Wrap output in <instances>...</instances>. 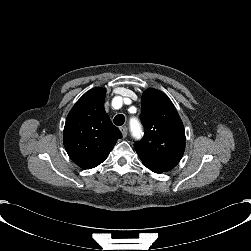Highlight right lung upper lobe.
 Masks as SVG:
<instances>
[{
	"label": "right lung upper lobe",
	"mask_w": 251,
	"mask_h": 251,
	"mask_svg": "<svg viewBox=\"0 0 251 251\" xmlns=\"http://www.w3.org/2000/svg\"><path fill=\"white\" fill-rule=\"evenodd\" d=\"M106 90L86 92L69 112L64 127V146L69 157L81 168L101 164L122 137L104 110Z\"/></svg>",
	"instance_id": "right-lung-upper-lobe-1"
}]
</instances>
